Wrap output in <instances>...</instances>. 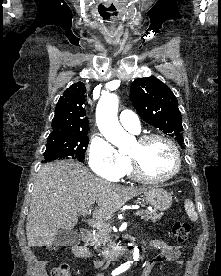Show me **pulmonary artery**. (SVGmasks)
Listing matches in <instances>:
<instances>
[{
	"mask_svg": "<svg viewBox=\"0 0 221 276\" xmlns=\"http://www.w3.org/2000/svg\"><path fill=\"white\" fill-rule=\"evenodd\" d=\"M119 120L122 126L132 133H138L141 129L138 116L130 110L122 111Z\"/></svg>",
	"mask_w": 221,
	"mask_h": 276,
	"instance_id": "1",
	"label": "pulmonary artery"
}]
</instances>
